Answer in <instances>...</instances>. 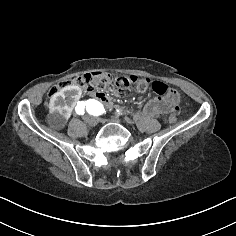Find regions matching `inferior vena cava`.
I'll use <instances>...</instances> for the list:
<instances>
[{
  "label": "inferior vena cava",
  "instance_id": "inferior-vena-cava-1",
  "mask_svg": "<svg viewBox=\"0 0 236 236\" xmlns=\"http://www.w3.org/2000/svg\"><path fill=\"white\" fill-rule=\"evenodd\" d=\"M82 119L89 125V126H95L99 119L96 116H90V115H83Z\"/></svg>",
  "mask_w": 236,
  "mask_h": 236
}]
</instances>
